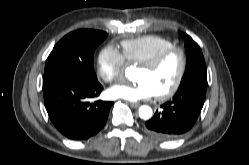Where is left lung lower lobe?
Returning <instances> with one entry per match:
<instances>
[{
	"instance_id": "left-lung-lower-lobe-1",
	"label": "left lung lower lobe",
	"mask_w": 249,
	"mask_h": 165,
	"mask_svg": "<svg viewBox=\"0 0 249 165\" xmlns=\"http://www.w3.org/2000/svg\"><path fill=\"white\" fill-rule=\"evenodd\" d=\"M207 86L190 85L178 90L172 101L146 122L148 131L163 140L176 139L195 124L203 107Z\"/></svg>"
}]
</instances>
